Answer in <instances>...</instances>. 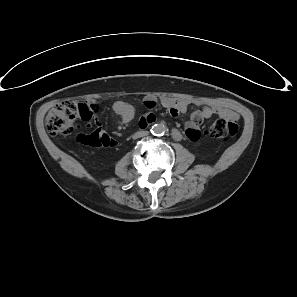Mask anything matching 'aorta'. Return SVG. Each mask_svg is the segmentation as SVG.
I'll list each match as a JSON object with an SVG mask.
<instances>
[{"label":"aorta","instance_id":"1","mask_svg":"<svg viewBox=\"0 0 297 297\" xmlns=\"http://www.w3.org/2000/svg\"><path fill=\"white\" fill-rule=\"evenodd\" d=\"M168 131L167 127L164 124H155L152 127V134L156 136H162Z\"/></svg>","mask_w":297,"mask_h":297}]
</instances>
